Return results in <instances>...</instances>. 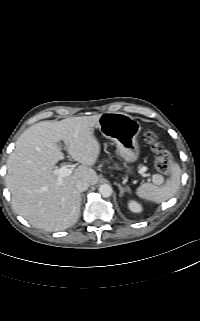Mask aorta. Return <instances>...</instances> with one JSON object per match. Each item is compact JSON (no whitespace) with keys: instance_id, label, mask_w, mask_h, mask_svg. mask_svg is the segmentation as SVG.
Instances as JSON below:
<instances>
[{"instance_id":"obj_1","label":"aorta","mask_w":200,"mask_h":321,"mask_svg":"<svg viewBox=\"0 0 200 321\" xmlns=\"http://www.w3.org/2000/svg\"><path fill=\"white\" fill-rule=\"evenodd\" d=\"M99 193L105 198L110 197L112 195V187L109 184H102L99 187Z\"/></svg>"}]
</instances>
